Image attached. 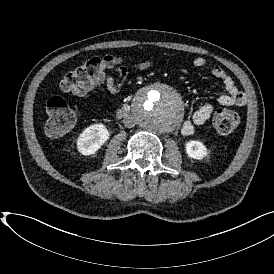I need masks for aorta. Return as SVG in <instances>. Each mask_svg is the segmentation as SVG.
Instances as JSON below:
<instances>
[{"mask_svg":"<svg viewBox=\"0 0 274 274\" xmlns=\"http://www.w3.org/2000/svg\"><path fill=\"white\" fill-rule=\"evenodd\" d=\"M132 109L135 122L155 132L174 130L183 117L181 98L172 88L161 84L142 90Z\"/></svg>","mask_w":274,"mask_h":274,"instance_id":"1","label":"aorta"}]
</instances>
